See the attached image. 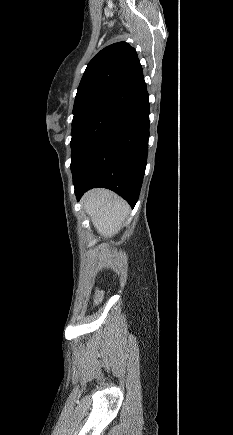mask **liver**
Wrapping results in <instances>:
<instances>
[{
    "instance_id": "liver-1",
    "label": "liver",
    "mask_w": 233,
    "mask_h": 435,
    "mask_svg": "<svg viewBox=\"0 0 233 435\" xmlns=\"http://www.w3.org/2000/svg\"><path fill=\"white\" fill-rule=\"evenodd\" d=\"M82 204L94 227L104 238L117 234L130 212L129 205L122 198L103 188L87 192Z\"/></svg>"
}]
</instances>
